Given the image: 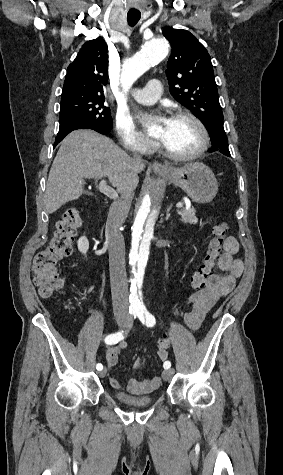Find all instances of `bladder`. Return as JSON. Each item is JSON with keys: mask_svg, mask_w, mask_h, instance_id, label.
Here are the masks:
<instances>
[{"mask_svg": "<svg viewBox=\"0 0 283 475\" xmlns=\"http://www.w3.org/2000/svg\"><path fill=\"white\" fill-rule=\"evenodd\" d=\"M112 397L128 408H146L153 405L156 401L155 395L133 396L128 392L114 391Z\"/></svg>", "mask_w": 283, "mask_h": 475, "instance_id": "1", "label": "bladder"}]
</instances>
